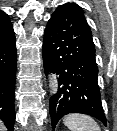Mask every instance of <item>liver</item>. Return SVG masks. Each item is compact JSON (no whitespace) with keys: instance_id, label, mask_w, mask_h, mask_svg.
Returning <instances> with one entry per match:
<instances>
[{"instance_id":"6515ba94","label":"liver","mask_w":117,"mask_h":131,"mask_svg":"<svg viewBox=\"0 0 117 131\" xmlns=\"http://www.w3.org/2000/svg\"><path fill=\"white\" fill-rule=\"evenodd\" d=\"M0 131H5V126L0 122Z\"/></svg>"}]
</instances>
